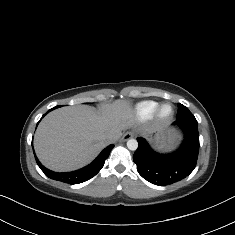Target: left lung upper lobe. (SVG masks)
Listing matches in <instances>:
<instances>
[{
    "mask_svg": "<svg viewBox=\"0 0 235 235\" xmlns=\"http://www.w3.org/2000/svg\"><path fill=\"white\" fill-rule=\"evenodd\" d=\"M182 119H190V120H196L194 115L189 111L187 107H185L182 104H178V113L176 116V120H182Z\"/></svg>",
    "mask_w": 235,
    "mask_h": 235,
    "instance_id": "left-lung-upper-lobe-1",
    "label": "left lung upper lobe"
}]
</instances>
